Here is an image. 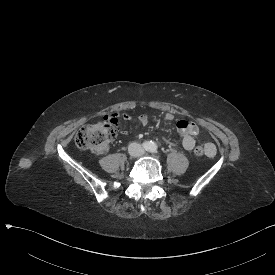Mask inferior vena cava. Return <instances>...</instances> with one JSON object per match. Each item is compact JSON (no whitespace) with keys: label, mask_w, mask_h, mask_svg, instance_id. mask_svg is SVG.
Masks as SVG:
<instances>
[{"label":"inferior vena cava","mask_w":275,"mask_h":275,"mask_svg":"<svg viewBox=\"0 0 275 275\" xmlns=\"http://www.w3.org/2000/svg\"><path fill=\"white\" fill-rule=\"evenodd\" d=\"M129 151L134 157L142 156L145 153L144 148L138 143H133Z\"/></svg>","instance_id":"inferior-vena-cava-1"}]
</instances>
